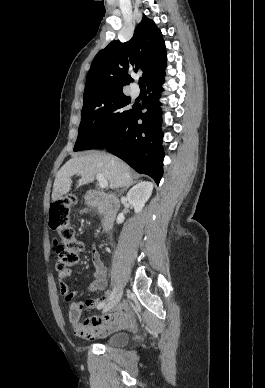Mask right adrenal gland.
<instances>
[{
  "mask_svg": "<svg viewBox=\"0 0 265 388\" xmlns=\"http://www.w3.org/2000/svg\"><path fill=\"white\" fill-rule=\"evenodd\" d=\"M128 188H130V186H126V188H123V190H121V194H123V192H125V190H128Z\"/></svg>",
  "mask_w": 265,
  "mask_h": 388,
  "instance_id": "right-adrenal-gland-1",
  "label": "right adrenal gland"
}]
</instances>
